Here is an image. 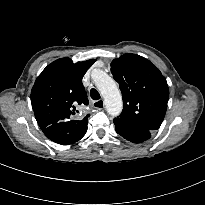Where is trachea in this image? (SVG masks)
<instances>
[{
	"mask_svg": "<svg viewBox=\"0 0 205 205\" xmlns=\"http://www.w3.org/2000/svg\"><path fill=\"white\" fill-rule=\"evenodd\" d=\"M90 96H91V98H92L93 100H98V99H100V94H99L98 91H97L96 89H94V88H92V89L90 90Z\"/></svg>",
	"mask_w": 205,
	"mask_h": 205,
	"instance_id": "obj_1",
	"label": "trachea"
}]
</instances>
